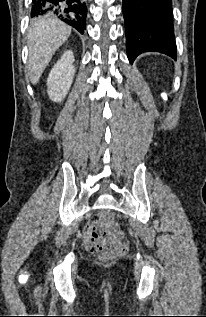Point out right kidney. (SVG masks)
<instances>
[{
  "label": "right kidney",
  "instance_id": "obj_1",
  "mask_svg": "<svg viewBox=\"0 0 206 317\" xmlns=\"http://www.w3.org/2000/svg\"><path fill=\"white\" fill-rule=\"evenodd\" d=\"M73 62V52L65 51L50 71L47 86L51 100L60 102L67 95L75 74Z\"/></svg>",
  "mask_w": 206,
  "mask_h": 317
}]
</instances>
